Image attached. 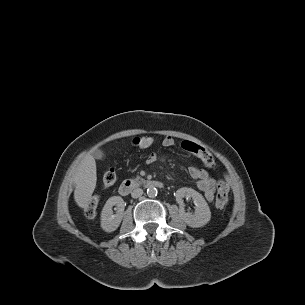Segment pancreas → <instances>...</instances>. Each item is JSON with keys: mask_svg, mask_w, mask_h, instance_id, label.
Returning a JSON list of instances; mask_svg holds the SVG:
<instances>
[{"mask_svg": "<svg viewBox=\"0 0 305 305\" xmlns=\"http://www.w3.org/2000/svg\"><path fill=\"white\" fill-rule=\"evenodd\" d=\"M134 181H135L136 183H142V182L144 181V179H143L142 177H140V176H137V177L134 179Z\"/></svg>", "mask_w": 305, "mask_h": 305, "instance_id": "pancreas-1", "label": "pancreas"}]
</instances>
